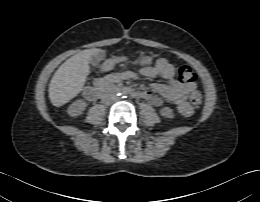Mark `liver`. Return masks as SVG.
I'll return each instance as SVG.
<instances>
[{"mask_svg": "<svg viewBox=\"0 0 260 202\" xmlns=\"http://www.w3.org/2000/svg\"><path fill=\"white\" fill-rule=\"evenodd\" d=\"M105 50L92 48L80 51L67 59L55 72L49 84V99L53 106L60 107L76 97L84 88L90 72V59Z\"/></svg>", "mask_w": 260, "mask_h": 202, "instance_id": "6515ba94", "label": "liver"}]
</instances>
